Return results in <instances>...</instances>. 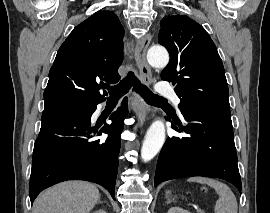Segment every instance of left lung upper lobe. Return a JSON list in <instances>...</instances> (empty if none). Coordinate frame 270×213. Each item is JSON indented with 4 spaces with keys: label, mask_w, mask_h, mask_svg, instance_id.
Masks as SVG:
<instances>
[{
    "label": "left lung upper lobe",
    "mask_w": 270,
    "mask_h": 213,
    "mask_svg": "<svg viewBox=\"0 0 270 213\" xmlns=\"http://www.w3.org/2000/svg\"><path fill=\"white\" fill-rule=\"evenodd\" d=\"M158 42L170 55L161 78L174 85L182 114L191 110L230 113L224 67L215 44L201 25L186 15L165 16Z\"/></svg>",
    "instance_id": "obj_1"
}]
</instances>
